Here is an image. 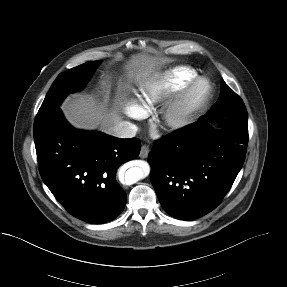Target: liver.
<instances>
[{
    "label": "liver",
    "mask_w": 287,
    "mask_h": 287,
    "mask_svg": "<svg viewBox=\"0 0 287 287\" xmlns=\"http://www.w3.org/2000/svg\"><path fill=\"white\" fill-rule=\"evenodd\" d=\"M156 64L155 58H149L145 55L132 56L127 65L128 75L137 80L155 78L158 76L154 71ZM107 98L106 95L104 102L99 103L91 95L76 94L68 97L61 105V109L74 127L89 130L100 128L110 134V129L115 123L121 121V117L116 110H107Z\"/></svg>",
    "instance_id": "liver-1"
}]
</instances>
